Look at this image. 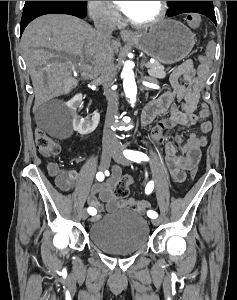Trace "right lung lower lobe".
<instances>
[{"label": "right lung lower lobe", "mask_w": 237, "mask_h": 300, "mask_svg": "<svg viewBox=\"0 0 237 300\" xmlns=\"http://www.w3.org/2000/svg\"><path fill=\"white\" fill-rule=\"evenodd\" d=\"M69 14L83 18L86 15V3H71V4H59L40 8L26 16H22L20 24V33L24 31L25 27L35 18L45 14Z\"/></svg>", "instance_id": "right-lung-lower-lobe-1"}]
</instances>
